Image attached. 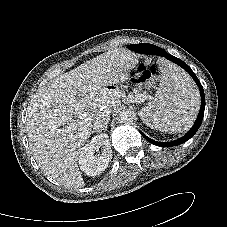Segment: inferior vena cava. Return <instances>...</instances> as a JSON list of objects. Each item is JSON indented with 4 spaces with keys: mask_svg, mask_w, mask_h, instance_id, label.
I'll list each match as a JSON object with an SVG mask.
<instances>
[{
    "mask_svg": "<svg viewBox=\"0 0 227 227\" xmlns=\"http://www.w3.org/2000/svg\"><path fill=\"white\" fill-rule=\"evenodd\" d=\"M109 120H110V117L108 115H100L94 121L93 129L97 132H100L105 128Z\"/></svg>",
    "mask_w": 227,
    "mask_h": 227,
    "instance_id": "1",
    "label": "inferior vena cava"
}]
</instances>
